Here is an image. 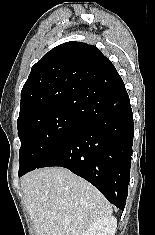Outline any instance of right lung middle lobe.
Segmentation results:
<instances>
[{"label":"right lung middle lobe","mask_w":155,"mask_h":235,"mask_svg":"<svg viewBox=\"0 0 155 235\" xmlns=\"http://www.w3.org/2000/svg\"><path fill=\"white\" fill-rule=\"evenodd\" d=\"M19 174L34 170L84 124L71 108L46 105L33 109L18 121Z\"/></svg>","instance_id":"dd1d6c3e"}]
</instances>
